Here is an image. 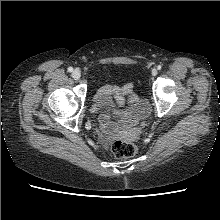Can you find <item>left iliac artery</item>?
Masks as SVG:
<instances>
[{"label": "left iliac artery", "instance_id": "44dca946", "mask_svg": "<svg viewBox=\"0 0 220 220\" xmlns=\"http://www.w3.org/2000/svg\"><path fill=\"white\" fill-rule=\"evenodd\" d=\"M157 68H158V70H160V69L162 68V65H158V67H157Z\"/></svg>", "mask_w": 220, "mask_h": 220}]
</instances>
